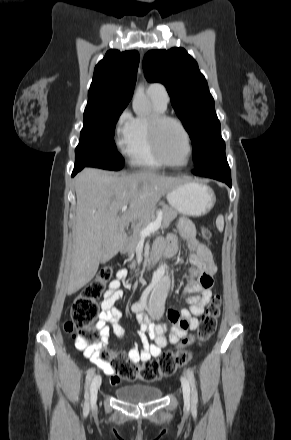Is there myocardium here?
I'll return each mask as SVG.
<instances>
[{
  "mask_svg": "<svg viewBox=\"0 0 291 440\" xmlns=\"http://www.w3.org/2000/svg\"><path fill=\"white\" fill-rule=\"evenodd\" d=\"M168 122L177 125L185 136L186 145H187V155H186V160L183 163L169 162L168 160L165 159V157L162 154L160 148V142H159V135L161 128ZM147 128H148L149 138L154 155L164 166L173 167V168H184L189 164L193 153L191 136L188 130L186 129V127L184 126V124L179 119L166 114L153 113L147 119Z\"/></svg>",
  "mask_w": 291,
  "mask_h": 440,
  "instance_id": "f54148a6",
  "label": "myocardium"
}]
</instances>
